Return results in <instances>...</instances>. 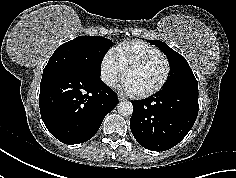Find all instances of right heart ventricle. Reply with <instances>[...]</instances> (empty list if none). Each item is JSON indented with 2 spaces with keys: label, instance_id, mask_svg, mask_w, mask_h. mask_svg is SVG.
Returning <instances> with one entry per match:
<instances>
[{
  "label": "right heart ventricle",
  "instance_id": "right-heart-ventricle-1",
  "mask_svg": "<svg viewBox=\"0 0 236 178\" xmlns=\"http://www.w3.org/2000/svg\"><path fill=\"white\" fill-rule=\"evenodd\" d=\"M156 53L161 52L156 47L140 40L121 42L111 51V54L123 69L134 60Z\"/></svg>",
  "mask_w": 236,
  "mask_h": 178
}]
</instances>
